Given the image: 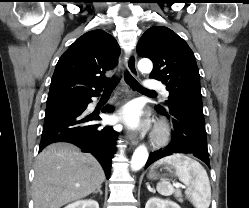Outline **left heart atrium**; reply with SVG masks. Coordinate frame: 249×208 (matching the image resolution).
<instances>
[{"label":"left heart atrium","mask_w":249,"mask_h":208,"mask_svg":"<svg viewBox=\"0 0 249 208\" xmlns=\"http://www.w3.org/2000/svg\"><path fill=\"white\" fill-rule=\"evenodd\" d=\"M115 120L124 123L131 129H139L144 125L141 108L135 103L125 105L115 117Z\"/></svg>","instance_id":"39dd6f15"}]
</instances>
